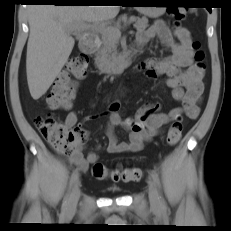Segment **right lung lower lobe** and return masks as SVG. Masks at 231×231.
I'll use <instances>...</instances> for the list:
<instances>
[{"instance_id":"obj_1","label":"right lung lower lobe","mask_w":231,"mask_h":231,"mask_svg":"<svg viewBox=\"0 0 231 231\" xmlns=\"http://www.w3.org/2000/svg\"><path fill=\"white\" fill-rule=\"evenodd\" d=\"M30 3H52L54 5H82L81 0H26Z\"/></svg>"}]
</instances>
